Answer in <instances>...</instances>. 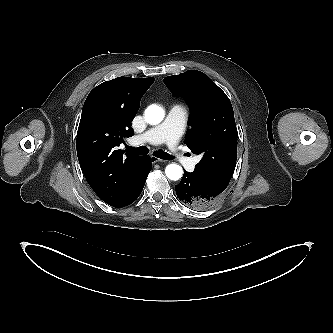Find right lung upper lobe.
I'll use <instances>...</instances> for the list:
<instances>
[{"instance_id":"obj_1","label":"right lung upper lobe","mask_w":333,"mask_h":333,"mask_svg":"<svg viewBox=\"0 0 333 333\" xmlns=\"http://www.w3.org/2000/svg\"><path fill=\"white\" fill-rule=\"evenodd\" d=\"M153 82V77H118L95 87L84 103L76 140L78 160L91 188L111 206L126 193L143 157L125 156L118 146L124 137L133 136L131 122Z\"/></svg>"}]
</instances>
